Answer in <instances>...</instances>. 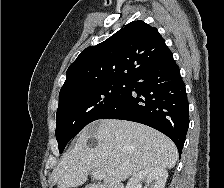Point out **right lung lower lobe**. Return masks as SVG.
Masks as SVG:
<instances>
[{
	"label": "right lung lower lobe",
	"instance_id": "1",
	"mask_svg": "<svg viewBox=\"0 0 224 188\" xmlns=\"http://www.w3.org/2000/svg\"><path fill=\"white\" fill-rule=\"evenodd\" d=\"M101 119L148 125L167 135L181 154L189 126V104L173 55L130 80L125 99Z\"/></svg>",
	"mask_w": 224,
	"mask_h": 188
}]
</instances>
